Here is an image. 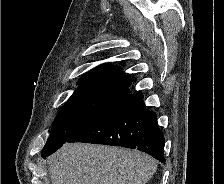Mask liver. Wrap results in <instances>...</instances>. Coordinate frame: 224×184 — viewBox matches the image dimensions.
<instances>
[{
	"mask_svg": "<svg viewBox=\"0 0 224 184\" xmlns=\"http://www.w3.org/2000/svg\"><path fill=\"white\" fill-rule=\"evenodd\" d=\"M52 184H146L155 160L137 150L67 143L49 159Z\"/></svg>",
	"mask_w": 224,
	"mask_h": 184,
	"instance_id": "liver-1",
	"label": "liver"
}]
</instances>
